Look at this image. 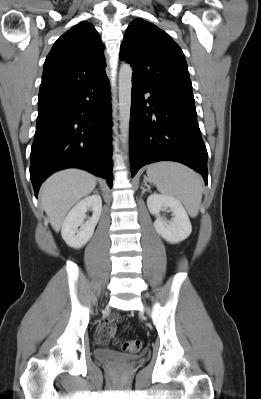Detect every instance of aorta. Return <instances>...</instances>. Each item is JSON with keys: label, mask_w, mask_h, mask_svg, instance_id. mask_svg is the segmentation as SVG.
I'll return each instance as SVG.
<instances>
[{"label": "aorta", "mask_w": 261, "mask_h": 399, "mask_svg": "<svg viewBox=\"0 0 261 399\" xmlns=\"http://www.w3.org/2000/svg\"><path fill=\"white\" fill-rule=\"evenodd\" d=\"M132 72V68L128 63H123L119 70V119L121 141L125 150L127 149L129 138Z\"/></svg>", "instance_id": "aorta-1"}]
</instances>
